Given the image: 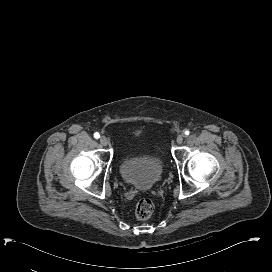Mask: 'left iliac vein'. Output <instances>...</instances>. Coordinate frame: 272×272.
Here are the masks:
<instances>
[{
  "label": "left iliac vein",
  "mask_w": 272,
  "mask_h": 272,
  "mask_svg": "<svg viewBox=\"0 0 272 272\" xmlns=\"http://www.w3.org/2000/svg\"><path fill=\"white\" fill-rule=\"evenodd\" d=\"M183 139H184V135L183 134H179L176 138V142L178 144H181L183 142Z\"/></svg>",
  "instance_id": "left-iliac-vein-1"
}]
</instances>
